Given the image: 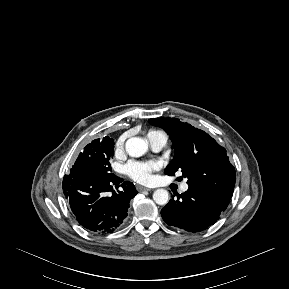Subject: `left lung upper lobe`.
Masks as SVG:
<instances>
[{
    "instance_id": "5c2ea615",
    "label": "left lung upper lobe",
    "mask_w": 289,
    "mask_h": 289,
    "mask_svg": "<svg viewBox=\"0 0 289 289\" xmlns=\"http://www.w3.org/2000/svg\"><path fill=\"white\" fill-rule=\"evenodd\" d=\"M149 123L163 128L174 146L175 155L165 174L181 170L190 188L231 199L236 174L225 148L204 131L177 118H153Z\"/></svg>"
}]
</instances>
